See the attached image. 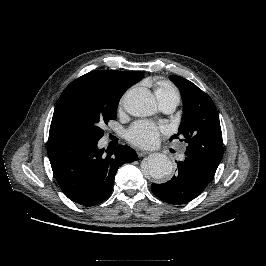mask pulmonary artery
<instances>
[{
	"instance_id": "e3ab8cb5",
	"label": "pulmonary artery",
	"mask_w": 266,
	"mask_h": 266,
	"mask_svg": "<svg viewBox=\"0 0 266 266\" xmlns=\"http://www.w3.org/2000/svg\"><path fill=\"white\" fill-rule=\"evenodd\" d=\"M177 104H178V101L175 99H169V100L160 102L161 109L166 113L173 112ZM180 157L183 158V155H180Z\"/></svg>"
}]
</instances>
